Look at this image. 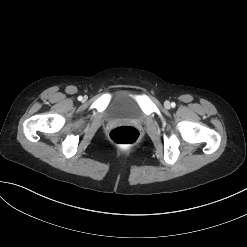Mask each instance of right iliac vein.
<instances>
[{"label":"right iliac vein","mask_w":247,"mask_h":247,"mask_svg":"<svg viewBox=\"0 0 247 247\" xmlns=\"http://www.w3.org/2000/svg\"><path fill=\"white\" fill-rule=\"evenodd\" d=\"M85 100H86V97L83 98V101H85Z\"/></svg>","instance_id":"obj_1"}]
</instances>
